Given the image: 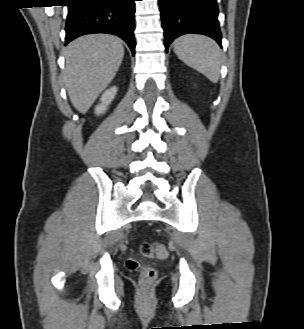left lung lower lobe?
<instances>
[{"instance_id": "1", "label": "left lung lower lobe", "mask_w": 304, "mask_h": 329, "mask_svg": "<svg viewBox=\"0 0 304 329\" xmlns=\"http://www.w3.org/2000/svg\"><path fill=\"white\" fill-rule=\"evenodd\" d=\"M159 6L166 51L186 33L207 35L222 46L216 0H159Z\"/></svg>"}]
</instances>
